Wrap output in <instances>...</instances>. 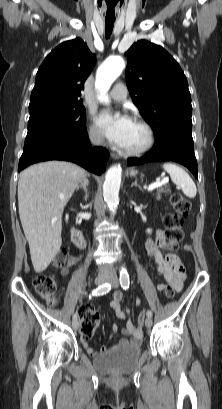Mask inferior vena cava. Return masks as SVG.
<instances>
[{
  "mask_svg": "<svg viewBox=\"0 0 222 409\" xmlns=\"http://www.w3.org/2000/svg\"><path fill=\"white\" fill-rule=\"evenodd\" d=\"M102 139H103V137H102V135H101L99 132L94 133V134L91 136V142H92L93 144H98V143H100V142L102 141ZM83 179H85V177H84ZM83 179H82V180H83ZM106 269H108L107 266L102 267V270H106Z\"/></svg>",
  "mask_w": 222,
  "mask_h": 409,
  "instance_id": "obj_1",
  "label": "inferior vena cava"
}]
</instances>
